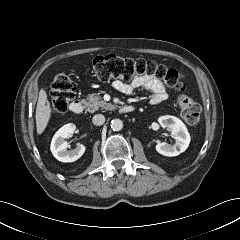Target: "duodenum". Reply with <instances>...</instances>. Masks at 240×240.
Wrapping results in <instances>:
<instances>
[{
  "instance_id": "obj_1",
  "label": "duodenum",
  "mask_w": 240,
  "mask_h": 240,
  "mask_svg": "<svg viewBox=\"0 0 240 240\" xmlns=\"http://www.w3.org/2000/svg\"><path fill=\"white\" fill-rule=\"evenodd\" d=\"M134 109L135 108L132 105H123L119 108V111L121 113H131L134 111ZM69 110L73 114H76V115L80 114L83 110V104L81 100L74 99L69 105Z\"/></svg>"
}]
</instances>
